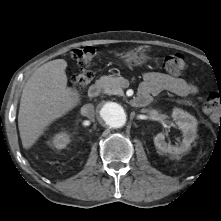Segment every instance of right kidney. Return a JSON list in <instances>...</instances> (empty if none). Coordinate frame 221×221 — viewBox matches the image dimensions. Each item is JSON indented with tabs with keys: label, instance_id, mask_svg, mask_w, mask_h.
<instances>
[{
	"label": "right kidney",
	"instance_id": "obj_1",
	"mask_svg": "<svg viewBox=\"0 0 221 221\" xmlns=\"http://www.w3.org/2000/svg\"><path fill=\"white\" fill-rule=\"evenodd\" d=\"M70 142V137L65 132H61L56 134L52 140L51 145L57 149H63Z\"/></svg>",
	"mask_w": 221,
	"mask_h": 221
}]
</instances>
